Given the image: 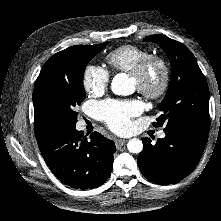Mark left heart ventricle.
I'll list each match as a JSON object with an SVG mask.
<instances>
[{
    "mask_svg": "<svg viewBox=\"0 0 221 221\" xmlns=\"http://www.w3.org/2000/svg\"><path fill=\"white\" fill-rule=\"evenodd\" d=\"M160 79V73L158 70H154L150 75H149V78H148V82L150 84H156ZM132 82L134 85H136V82L135 80L132 78Z\"/></svg>",
    "mask_w": 221,
    "mask_h": 221,
    "instance_id": "1",
    "label": "left heart ventricle"
}]
</instances>
